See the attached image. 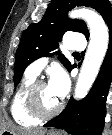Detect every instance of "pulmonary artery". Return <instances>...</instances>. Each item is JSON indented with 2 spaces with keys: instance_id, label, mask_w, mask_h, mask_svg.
Segmentation results:
<instances>
[{
  "instance_id": "pulmonary-artery-1",
  "label": "pulmonary artery",
  "mask_w": 112,
  "mask_h": 135,
  "mask_svg": "<svg viewBox=\"0 0 112 135\" xmlns=\"http://www.w3.org/2000/svg\"><path fill=\"white\" fill-rule=\"evenodd\" d=\"M85 39L81 34H70L65 37V46L68 50L80 52L85 47ZM47 64V59L42 58L28 66L26 74L37 76Z\"/></svg>"
}]
</instances>
